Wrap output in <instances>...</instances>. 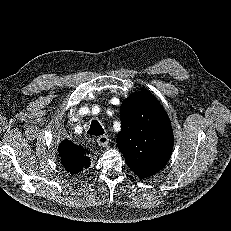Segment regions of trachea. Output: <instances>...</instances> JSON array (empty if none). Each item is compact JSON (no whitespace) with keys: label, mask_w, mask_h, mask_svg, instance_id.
<instances>
[{"label":"trachea","mask_w":231,"mask_h":231,"mask_svg":"<svg viewBox=\"0 0 231 231\" xmlns=\"http://www.w3.org/2000/svg\"><path fill=\"white\" fill-rule=\"evenodd\" d=\"M89 135L99 136L105 133L103 127L97 120H92L89 130L87 131Z\"/></svg>","instance_id":"3493384b"}]
</instances>
